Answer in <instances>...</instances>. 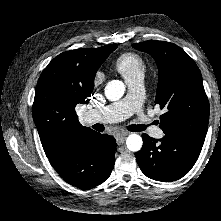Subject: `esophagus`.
Segmentation results:
<instances>
[{"label": "esophagus", "instance_id": "obj_1", "mask_svg": "<svg viewBox=\"0 0 221 221\" xmlns=\"http://www.w3.org/2000/svg\"><path fill=\"white\" fill-rule=\"evenodd\" d=\"M127 133L126 132H121L119 134H117L116 136V141L118 144H123L125 142Z\"/></svg>", "mask_w": 221, "mask_h": 221}]
</instances>
